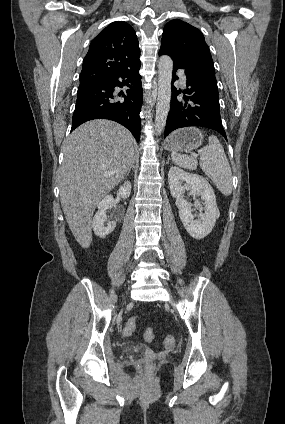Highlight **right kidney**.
Wrapping results in <instances>:
<instances>
[{
    "label": "right kidney",
    "mask_w": 285,
    "mask_h": 424,
    "mask_svg": "<svg viewBox=\"0 0 285 424\" xmlns=\"http://www.w3.org/2000/svg\"><path fill=\"white\" fill-rule=\"evenodd\" d=\"M130 193L131 183L129 181H125L123 185L120 186L117 192V197L127 199L130 196ZM113 202L114 198L111 195L104 197L98 203V211L96 212L92 221L94 233L102 239L106 238V236L112 233L116 227V221H111L105 225V221L107 220L106 211L109 209V207H111Z\"/></svg>",
    "instance_id": "ca27d5eb"
}]
</instances>
